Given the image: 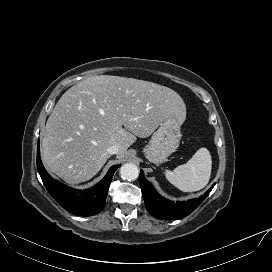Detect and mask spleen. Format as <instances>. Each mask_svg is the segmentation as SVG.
<instances>
[{
	"instance_id": "1",
	"label": "spleen",
	"mask_w": 272,
	"mask_h": 272,
	"mask_svg": "<svg viewBox=\"0 0 272 272\" xmlns=\"http://www.w3.org/2000/svg\"><path fill=\"white\" fill-rule=\"evenodd\" d=\"M212 169L210 152L200 148L185 164L176 167L173 171L167 170V180L183 192H194L203 189L209 182Z\"/></svg>"
}]
</instances>
